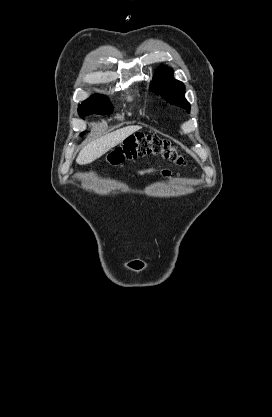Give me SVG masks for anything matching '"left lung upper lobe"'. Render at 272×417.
<instances>
[{
	"label": "left lung upper lobe",
	"mask_w": 272,
	"mask_h": 417,
	"mask_svg": "<svg viewBox=\"0 0 272 417\" xmlns=\"http://www.w3.org/2000/svg\"><path fill=\"white\" fill-rule=\"evenodd\" d=\"M150 90L161 94L167 102L178 105L190 112V105L184 98V86L182 82L173 78V71L165 66L159 67L155 79L150 84Z\"/></svg>",
	"instance_id": "obj_1"
}]
</instances>
